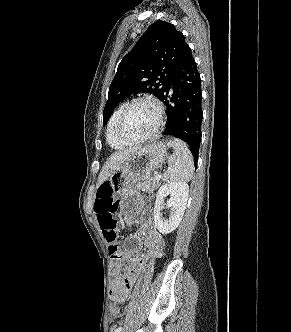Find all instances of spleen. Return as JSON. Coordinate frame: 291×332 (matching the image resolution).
Listing matches in <instances>:
<instances>
[{"label":"spleen","mask_w":291,"mask_h":332,"mask_svg":"<svg viewBox=\"0 0 291 332\" xmlns=\"http://www.w3.org/2000/svg\"><path fill=\"white\" fill-rule=\"evenodd\" d=\"M167 146L174 149V153L168 157V168L163 175L166 182H188L194 174L193 156L185 142L173 138L167 142Z\"/></svg>","instance_id":"3e777b00"}]
</instances>
